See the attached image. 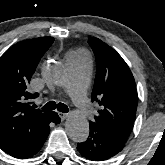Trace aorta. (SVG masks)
Wrapping results in <instances>:
<instances>
[{
	"label": "aorta",
	"mask_w": 165,
	"mask_h": 165,
	"mask_svg": "<svg viewBox=\"0 0 165 165\" xmlns=\"http://www.w3.org/2000/svg\"><path fill=\"white\" fill-rule=\"evenodd\" d=\"M65 70L57 62H49L42 69V76L48 83L59 85L63 82ZM66 132L74 142H84L89 135V123L85 116L73 113L66 121Z\"/></svg>",
	"instance_id": "762f6f07"
}]
</instances>
